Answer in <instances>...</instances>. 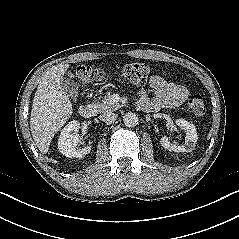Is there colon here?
<instances>
[{"mask_svg": "<svg viewBox=\"0 0 239 239\" xmlns=\"http://www.w3.org/2000/svg\"><path fill=\"white\" fill-rule=\"evenodd\" d=\"M72 73L74 77L83 82L99 80L103 75L100 69L85 65L78 66ZM149 73V65L144 62H131L122 68L123 77L133 85L144 84ZM187 105L195 115H202L205 112V101L200 94H191L187 99Z\"/></svg>", "mask_w": 239, "mask_h": 239, "instance_id": "1", "label": "colon"}]
</instances>
